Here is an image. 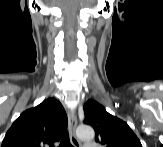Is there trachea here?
I'll use <instances>...</instances> for the list:
<instances>
[{
    "label": "trachea",
    "instance_id": "3493384b",
    "mask_svg": "<svg viewBox=\"0 0 163 147\" xmlns=\"http://www.w3.org/2000/svg\"><path fill=\"white\" fill-rule=\"evenodd\" d=\"M59 147H73L70 143V140H69V135H65V137L62 138L60 144H59Z\"/></svg>",
    "mask_w": 163,
    "mask_h": 147
}]
</instances>
